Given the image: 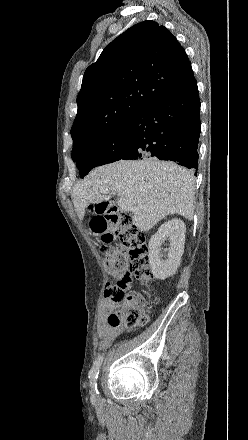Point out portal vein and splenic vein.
Masks as SVG:
<instances>
[{
	"instance_id": "18ae733b",
	"label": "portal vein and splenic vein",
	"mask_w": 248,
	"mask_h": 440,
	"mask_svg": "<svg viewBox=\"0 0 248 440\" xmlns=\"http://www.w3.org/2000/svg\"><path fill=\"white\" fill-rule=\"evenodd\" d=\"M102 192H106L105 190H102ZM118 205L119 207L124 210V211H130V212H134L136 209L133 207V204L125 199L120 198L118 200Z\"/></svg>"
}]
</instances>
